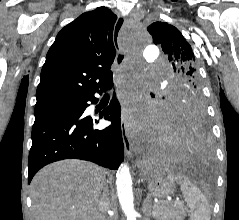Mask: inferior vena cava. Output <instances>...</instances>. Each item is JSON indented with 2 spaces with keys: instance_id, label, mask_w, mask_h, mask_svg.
<instances>
[{
  "instance_id": "inferior-vena-cava-1",
  "label": "inferior vena cava",
  "mask_w": 239,
  "mask_h": 220,
  "mask_svg": "<svg viewBox=\"0 0 239 220\" xmlns=\"http://www.w3.org/2000/svg\"><path fill=\"white\" fill-rule=\"evenodd\" d=\"M110 207V198H109V192L108 188L104 186L103 193L100 196V199L98 201V213L96 215L97 220H109L106 217V212L108 211Z\"/></svg>"
}]
</instances>
